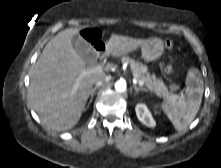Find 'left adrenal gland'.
Returning a JSON list of instances; mask_svg holds the SVG:
<instances>
[{
  "instance_id": "a2214340",
  "label": "left adrenal gland",
  "mask_w": 221,
  "mask_h": 168,
  "mask_svg": "<svg viewBox=\"0 0 221 168\" xmlns=\"http://www.w3.org/2000/svg\"><path fill=\"white\" fill-rule=\"evenodd\" d=\"M133 88L135 90L136 93H138L139 91H144V92H147V90L145 88H142V87H138L136 85H133Z\"/></svg>"
}]
</instances>
